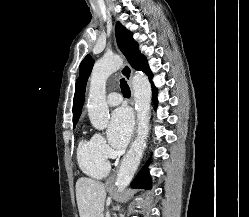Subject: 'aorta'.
Instances as JSON below:
<instances>
[{"label": "aorta", "mask_w": 249, "mask_h": 217, "mask_svg": "<svg viewBox=\"0 0 249 217\" xmlns=\"http://www.w3.org/2000/svg\"><path fill=\"white\" fill-rule=\"evenodd\" d=\"M122 65L119 56L104 57L95 63L88 97V115L93 127L104 130L109 123V110L106 103V81ZM135 108L137 110V136L120 165L116 186L122 192L132 180L142 158L149 133L151 84L144 73H136L132 80Z\"/></svg>", "instance_id": "1"}]
</instances>
